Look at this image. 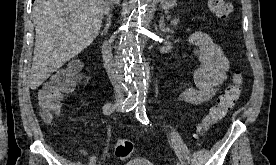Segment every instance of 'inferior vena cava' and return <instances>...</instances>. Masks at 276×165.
Instances as JSON below:
<instances>
[{"label":"inferior vena cava","mask_w":276,"mask_h":165,"mask_svg":"<svg viewBox=\"0 0 276 165\" xmlns=\"http://www.w3.org/2000/svg\"><path fill=\"white\" fill-rule=\"evenodd\" d=\"M117 0H111L110 2H106L105 11L104 13L109 15V12L111 10L112 3L116 2ZM103 59H104V65L107 70L108 76L113 84L114 90H115V97L118 101H123V88L120 83V78L118 76V69L117 64L112 58V53L110 46L108 45V42H105L103 45Z\"/></svg>","instance_id":"1"}]
</instances>
